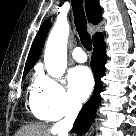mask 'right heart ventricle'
<instances>
[{
    "label": "right heart ventricle",
    "mask_w": 136,
    "mask_h": 136,
    "mask_svg": "<svg viewBox=\"0 0 136 136\" xmlns=\"http://www.w3.org/2000/svg\"><path fill=\"white\" fill-rule=\"evenodd\" d=\"M31 96H32V94H31ZM30 104H31V97H30ZM31 108H32V105H31ZM32 111H33L34 115H35L37 118L42 119V120H46L41 114H39V113H38L36 110H34L33 108H32Z\"/></svg>",
    "instance_id": "e07e8e85"
}]
</instances>
